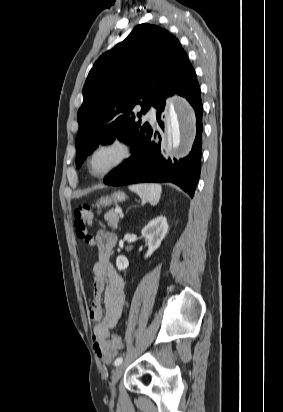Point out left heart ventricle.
<instances>
[{
  "label": "left heart ventricle",
  "instance_id": "b2bd125f",
  "mask_svg": "<svg viewBox=\"0 0 283 412\" xmlns=\"http://www.w3.org/2000/svg\"><path fill=\"white\" fill-rule=\"evenodd\" d=\"M119 157V150L116 148L104 149L98 152L92 160V168L95 171H102L109 167Z\"/></svg>",
  "mask_w": 283,
  "mask_h": 412
}]
</instances>
